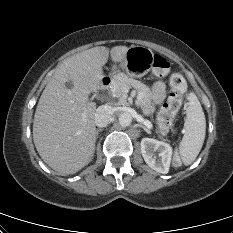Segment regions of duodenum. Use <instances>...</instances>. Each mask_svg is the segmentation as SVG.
<instances>
[{
    "mask_svg": "<svg viewBox=\"0 0 233 233\" xmlns=\"http://www.w3.org/2000/svg\"><path fill=\"white\" fill-rule=\"evenodd\" d=\"M111 78L109 77H104L102 80H101V83H100V87L103 91L107 90L109 88V86L111 85Z\"/></svg>",
    "mask_w": 233,
    "mask_h": 233,
    "instance_id": "410a0bca",
    "label": "duodenum"
}]
</instances>
